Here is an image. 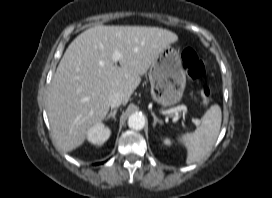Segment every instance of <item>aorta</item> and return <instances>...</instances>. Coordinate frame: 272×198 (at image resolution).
<instances>
[{"label":"aorta","mask_w":272,"mask_h":198,"mask_svg":"<svg viewBox=\"0 0 272 198\" xmlns=\"http://www.w3.org/2000/svg\"><path fill=\"white\" fill-rule=\"evenodd\" d=\"M145 125V118L141 113H134L129 116L128 126L134 130H141Z\"/></svg>","instance_id":"obj_1"}]
</instances>
